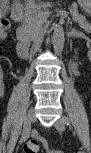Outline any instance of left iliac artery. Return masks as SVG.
Instances as JSON below:
<instances>
[{"mask_svg": "<svg viewBox=\"0 0 91 153\" xmlns=\"http://www.w3.org/2000/svg\"><path fill=\"white\" fill-rule=\"evenodd\" d=\"M63 120L67 126L70 125V119L68 117H63ZM79 153H84V151H79Z\"/></svg>", "mask_w": 91, "mask_h": 153, "instance_id": "1", "label": "left iliac artery"}]
</instances>
